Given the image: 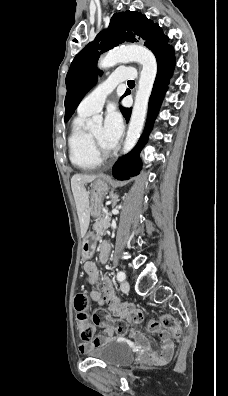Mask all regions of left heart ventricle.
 Masks as SVG:
<instances>
[{
    "mask_svg": "<svg viewBox=\"0 0 228 396\" xmlns=\"http://www.w3.org/2000/svg\"><path fill=\"white\" fill-rule=\"evenodd\" d=\"M92 134L95 138L99 141V143L105 149H112V147L106 142L104 137V127L102 125L97 126L95 129L92 130Z\"/></svg>",
    "mask_w": 228,
    "mask_h": 396,
    "instance_id": "left-heart-ventricle-1",
    "label": "left heart ventricle"
}]
</instances>
